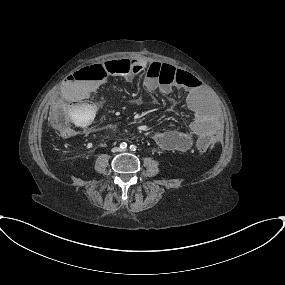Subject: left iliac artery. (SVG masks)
Here are the masks:
<instances>
[{"instance_id": "left-iliac-artery-1", "label": "left iliac artery", "mask_w": 285, "mask_h": 285, "mask_svg": "<svg viewBox=\"0 0 285 285\" xmlns=\"http://www.w3.org/2000/svg\"><path fill=\"white\" fill-rule=\"evenodd\" d=\"M130 150L135 151L136 150V146L135 145H130Z\"/></svg>"}]
</instances>
